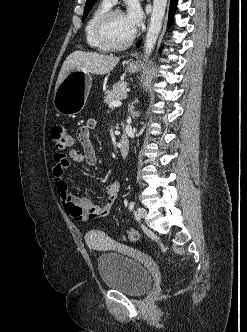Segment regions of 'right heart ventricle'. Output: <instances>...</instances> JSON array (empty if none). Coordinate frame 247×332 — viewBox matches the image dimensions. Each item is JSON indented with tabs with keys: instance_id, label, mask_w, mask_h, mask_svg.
Segmentation results:
<instances>
[{
	"instance_id": "obj_1",
	"label": "right heart ventricle",
	"mask_w": 247,
	"mask_h": 332,
	"mask_svg": "<svg viewBox=\"0 0 247 332\" xmlns=\"http://www.w3.org/2000/svg\"><path fill=\"white\" fill-rule=\"evenodd\" d=\"M112 5L108 4L106 1H101L92 11L90 14L86 25H85V38L88 47L93 50L104 52L107 49L101 45L95 37L94 34V27L97 20L106 12L108 11Z\"/></svg>"
}]
</instances>
